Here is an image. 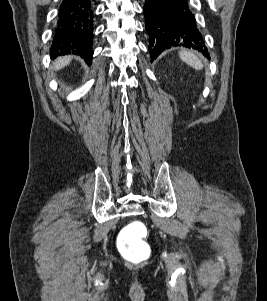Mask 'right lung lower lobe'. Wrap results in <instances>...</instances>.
<instances>
[{"label": "right lung lower lobe", "instance_id": "right-lung-lower-lobe-1", "mask_svg": "<svg viewBox=\"0 0 267 301\" xmlns=\"http://www.w3.org/2000/svg\"><path fill=\"white\" fill-rule=\"evenodd\" d=\"M93 18L92 0H63L54 30L51 57L76 54L91 64Z\"/></svg>", "mask_w": 267, "mask_h": 301}]
</instances>
